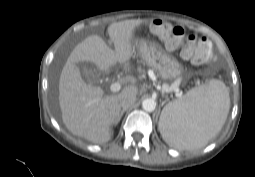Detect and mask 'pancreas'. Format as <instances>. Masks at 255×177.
I'll return each mask as SVG.
<instances>
[{
    "mask_svg": "<svg viewBox=\"0 0 255 177\" xmlns=\"http://www.w3.org/2000/svg\"><path fill=\"white\" fill-rule=\"evenodd\" d=\"M166 88H169V86H168V85H165V86L163 87L164 90H165Z\"/></svg>",
    "mask_w": 255,
    "mask_h": 177,
    "instance_id": "cf45deb5",
    "label": "pancreas"
}]
</instances>
